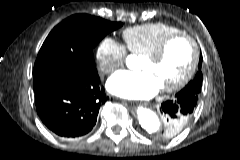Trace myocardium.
I'll return each mask as SVG.
<instances>
[{
	"label": "myocardium",
	"instance_id": "myocardium-1",
	"mask_svg": "<svg viewBox=\"0 0 240 160\" xmlns=\"http://www.w3.org/2000/svg\"><path fill=\"white\" fill-rule=\"evenodd\" d=\"M177 39H183L189 43L192 51V59L186 73L175 84L161 88L162 92L164 93H173L181 90L193 78L199 63V50L196 41L193 39V37L186 33H173L166 36L152 52L143 56V59L151 60L154 62L159 61L163 58L168 46Z\"/></svg>",
	"mask_w": 240,
	"mask_h": 160
}]
</instances>
